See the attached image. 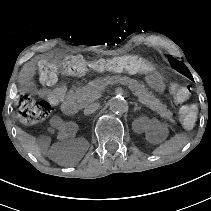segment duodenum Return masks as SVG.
Here are the masks:
<instances>
[{"label":"duodenum","mask_w":211,"mask_h":211,"mask_svg":"<svg viewBox=\"0 0 211 211\" xmlns=\"http://www.w3.org/2000/svg\"><path fill=\"white\" fill-rule=\"evenodd\" d=\"M61 109L66 115H74L77 112V104L72 99H66L62 102Z\"/></svg>","instance_id":"duodenum-1"}]
</instances>
